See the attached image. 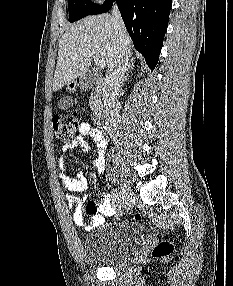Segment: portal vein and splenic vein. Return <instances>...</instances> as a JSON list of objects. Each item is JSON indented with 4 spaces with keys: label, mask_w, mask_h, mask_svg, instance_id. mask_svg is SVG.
Returning a JSON list of instances; mask_svg holds the SVG:
<instances>
[{
    "label": "portal vein and splenic vein",
    "mask_w": 233,
    "mask_h": 286,
    "mask_svg": "<svg viewBox=\"0 0 233 286\" xmlns=\"http://www.w3.org/2000/svg\"><path fill=\"white\" fill-rule=\"evenodd\" d=\"M94 61L97 67L99 68L105 67L104 60L100 56H94Z\"/></svg>",
    "instance_id": "1"
}]
</instances>
